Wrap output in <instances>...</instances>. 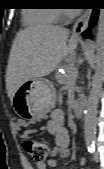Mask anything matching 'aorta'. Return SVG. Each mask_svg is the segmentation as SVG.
Here are the masks:
<instances>
[{
	"label": "aorta",
	"instance_id": "762f6f07",
	"mask_svg": "<svg viewBox=\"0 0 104 169\" xmlns=\"http://www.w3.org/2000/svg\"><path fill=\"white\" fill-rule=\"evenodd\" d=\"M96 67L95 75L92 81V88L86 103L84 113V135L85 139L94 142L96 138L98 103L102 92L104 82L103 57H104V34L102 30L98 31L96 39Z\"/></svg>",
	"mask_w": 104,
	"mask_h": 169
}]
</instances>
